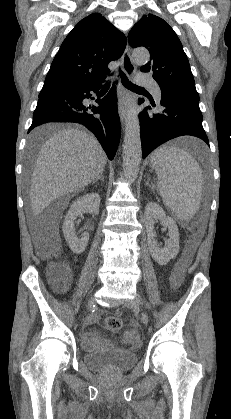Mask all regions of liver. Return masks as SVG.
<instances>
[{
  "mask_svg": "<svg viewBox=\"0 0 231 419\" xmlns=\"http://www.w3.org/2000/svg\"><path fill=\"white\" fill-rule=\"evenodd\" d=\"M49 128H36L30 138L38 140ZM106 162L103 148L91 134L73 128L55 133L40 148L34 165L30 186L33 213L39 215L57 198L82 190L103 172Z\"/></svg>",
  "mask_w": 231,
  "mask_h": 419,
  "instance_id": "6515ba94",
  "label": "liver"
}]
</instances>
